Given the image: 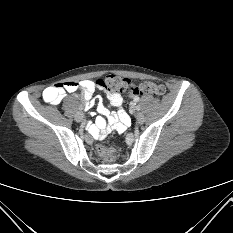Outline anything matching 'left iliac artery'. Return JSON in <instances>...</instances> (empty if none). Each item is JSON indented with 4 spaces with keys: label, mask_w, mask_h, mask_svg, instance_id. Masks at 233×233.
<instances>
[{
    "label": "left iliac artery",
    "mask_w": 233,
    "mask_h": 233,
    "mask_svg": "<svg viewBox=\"0 0 233 233\" xmlns=\"http://www.w3.org/2000/svg\"><path fill=\"white\" fill-rule=\"evenodd\" d=\"M134 101L138 102L139 101V97H135ZM136 110L139 111L140 110V106H136Z\"/></svg>",
    "instance_id": "44dca946"
}]
</instances>
